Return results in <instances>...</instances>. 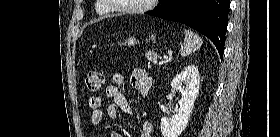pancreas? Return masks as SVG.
I'll return each instance as SVG.
<instances>
[{
  "instance_id": "pancreas-1",
  "label": "pancreas",
  "mask_w": 280,
  "mask_h": 137,
  "mask_svg": "<svg viewBox=\"0 0 280 137\" xmlns=\"http://www.w3.org/2000/svg\"><path fill=\"white\" fill-rule=\"evenodd\" d=\"M145 57H146L147 60L150 61V62H156V60H157V54H156L155 52L148 51V52L145 54Z\"/></svg>"
}]
</instances>
